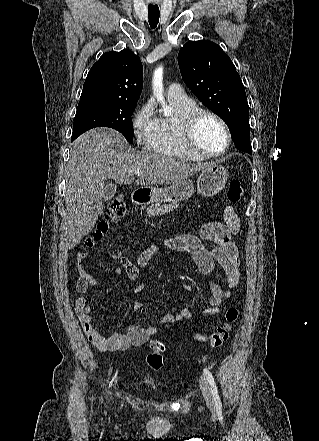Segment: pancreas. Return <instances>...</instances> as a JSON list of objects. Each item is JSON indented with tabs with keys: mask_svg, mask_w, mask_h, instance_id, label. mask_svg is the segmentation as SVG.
Masks as SVG:
<instances>
[{
	"mask_svg": "<svg viewBox=\"0 0 319 441\" xmlns=\"http://www.w3.org/2000/svg\"><path fill=\"white\" fill-rule=\"evenodd\" d=\"M177 207H178V203H170L163 205L161 203H155V204L152 203L151 206L147 208V213L149 214V216H159L162 214L172 212Z\"/></svg>",
	"mask_w": 319,
	"mask_h": 441,
	"instance_id": "1",
	"label": "pancreas"
}]
</instances>
